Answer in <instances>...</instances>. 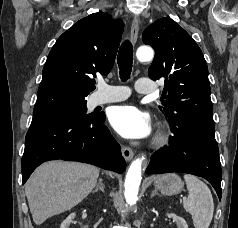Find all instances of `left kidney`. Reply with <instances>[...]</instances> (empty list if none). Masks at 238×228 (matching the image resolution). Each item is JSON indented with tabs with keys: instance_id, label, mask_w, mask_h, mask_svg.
I'll return each mask as SVG.
<instances>
[{
	"instance_id": "5707ae66",
	"label": "left kidney",
	"mask_w": 238,
	"mask_h": 228,
	"mask_svg": "<svg viewBox=\"0 0 238 228\" xmlns=\"http://www.w3.org/2000/svg\"><path fill=\"white\" fill-rule=\"evenodd\" d=\"M167 216L173 219V221L177 224V228H188L186 221L182 217H179L174 213H169Z\"/></svg>"
}]
</instances>
